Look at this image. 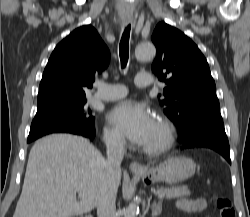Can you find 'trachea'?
<instances>
[{"instance_id":"3493384b","label":"trachea","mask_w":250,"mask_h":217,"mask_svg":"<svg viewBox=\"0 0 250 217\" xmlns=\"http://www.w3.org/2000/svg\"><path fill=\"white\" fill-rule=\"evenodd\" d=\"M130 25H128L121 37L120 45H119V55L121 61V67L125 68L128 62L129 57V37H130Z\"/></svg>"}]
</instances>
